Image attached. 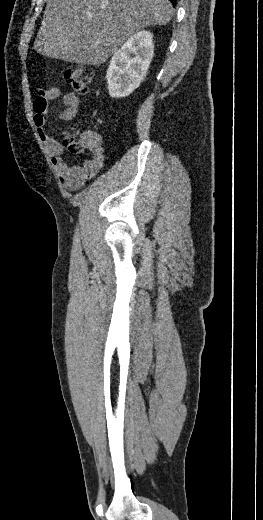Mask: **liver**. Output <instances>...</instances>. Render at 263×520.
<instances>
[{"mask_svg": "<svg viewBox=\"0 0 263 520\" xmlns=\"http://www.w3.org/2000/svg\"><path fill=\"white\" fill-rule=\"evenodd\" d=\"M172 14L169 0H48L34 49L50 58L99 66L129 37L167 25Z\"/></svg>", "mask_w": 263, "mask_h": 520, "instance_id": "liver-1", "label": "liver"}]
</instances>
